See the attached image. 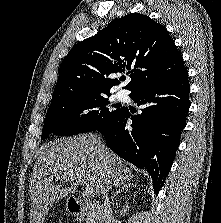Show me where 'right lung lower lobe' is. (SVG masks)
<instances>
[{
  "label": "right lung lower lobe",
  "mask_w": 221,
  "mask_h": 223,
  "mask_svg": "<svg viewBox=\"0 0 221 223\" xmlns=\"http://www.w3.org/2000/svg\"><path fill=\"white\" fill-rule=\"evenodd\" d=\"M188 71L158 83L138 87L130 97L142 105L141 114L127 107L96 129L117 155L149 172L156 194L170 171L189 111ZM131 119L132 123L127 124Z\"/></svg>",
  "instance_id": "obj_1"
}]
</instances>
